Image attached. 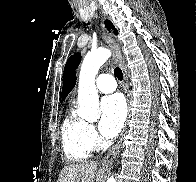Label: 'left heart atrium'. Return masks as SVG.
I'll list each match as a JSON object with an SVG mask.
<instances>
[{"mask_svg":"<svg viewBox=\"0 0 196 182\" xmlns=\"http://www.w3.org/2000/svg\"><path fill=\"white\" fill-rule=\"evenodd\" d=\"M101 119L99 129L103 136H116L126 118V104L120 94H112L102 98L100 103Z\"/></svg>","mask_w":196,"mask_h":182,"instance_id":"39dd6f15","label":"left heart atrium"}]
</instances>
